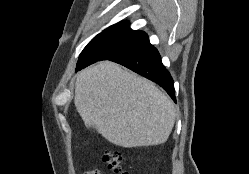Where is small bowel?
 <instances>
[{
    "instance_id": "1",
    "label": "small bowel",
    "mask_w": 249,
    "mask_h": 174,
    "mask_svg": "<svg viewBox=\"0 0 249 174\" xmlns=\"http://www.w3.org/2000/svg\"><path fill=\"white\" fill-rule=\"evenodd\" d=\"M84 174H101V172L96 169V170L85 172Z\"/></svg>"
}]
</instances>
